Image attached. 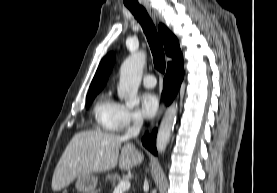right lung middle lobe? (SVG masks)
I'll return each instance as SVG.
<instances>
[{
    "label": "right lung middle lobe",
    "instance_id": "obj_1",
    "mask_svg": "<svg viewBox=\"0 0 277 193\" xmlns=\"http://www.w3.org/2000/svg\"><path fill=\"white\" fill-rule=\"evenodd\" d=\"M97 93L98 92H94V93H90V94L87 95V97H86V108L89 107V105L91 104L92 100L97 95Z\"/></svg>",
    "mask_w": 277,
    "mask_h": 193
}]
</instances>
